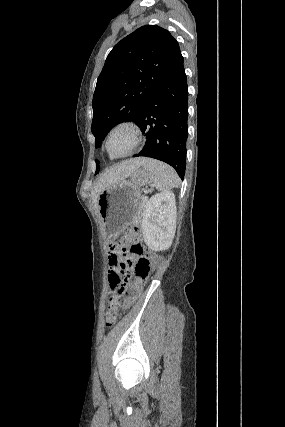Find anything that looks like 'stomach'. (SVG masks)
<instances>
[{
    "instance_id": "0dacf381",
    "label": "stomach",
    "mask_w": 285,
    "mask_h": 427,
    "mask_svg": "<svg viewBox=\"0 0 285 427\" xmlns=\"http://www.w3.org/2000/svg\"><path fill=\"white\" fill-rule=\"evenodd\" d=\"M149 173L136 169L129 179L107 187L99 196L98 212L105 237L112 238L138 217L141 188L151 183Z\"/></svg>"
}]
</instances>
